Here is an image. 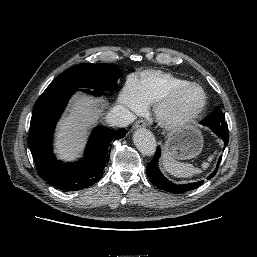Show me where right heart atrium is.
<instances>
[{"mask_svg": "<svg viewBox=\"0 0 257 257\" xmlns=\"http://www.w3.org/2000/svg\"><path fill=\"white\" fill-rule=\"evenodd\" d=\"M118 100L130 114H141L147 109L146 104L139 96L136 80L132 77L127 79L119 94Z\"/></svg>", "mask_w": 257, "mask_h": 257, "instance_id": "1", "label": "right heart atrium"}]
</instances>
